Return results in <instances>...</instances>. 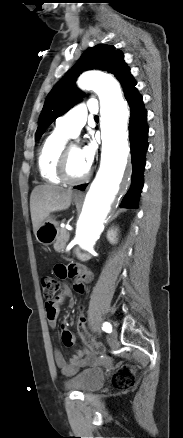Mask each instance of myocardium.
<instances>
[{
  "mask_svg": "<svg viewBox=\"0 0 183 438\" xmlns=\"http://www.w3.org/2000/svg\"><path fill=\"white\" fill-rule=\"evenodd\" d=\"M72 147L73 146H66L62 149V151L59 155V158H58L56 173H57L59 179L61 180V182L69 184V185H77V184H81V183L86 182L90 178V176L92 174V169L89 167L86 174L84 176H82L81 178L72 179L69 177L68 172H67V164H68L69 151Z\"/></svg>",
  "mask_w": 183,
  "mask_h": 438,
  "instance_id": "f54148a6",
  "label": "myocardium"
}]
</instances>
